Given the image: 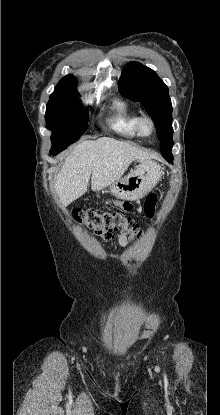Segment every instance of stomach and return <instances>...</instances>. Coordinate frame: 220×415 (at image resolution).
I'll return each instance as SVG.
<instances>
[{
	"label": "stomach",
	"instance_id": "obj_1",
	"mask_svg": "<svg viewBox=\"0 0 220 415\" xmlns=\"http://www.w3.org/2000/svg\"><path fill=\"white\" fill-rule=\"evenodd\" d=\"M161 166L150 159L141 160L139 166L125 178L109 186L110 193L122 200H138L144 197L160 180Z\"/></svg>",
	"mask_w": 220,
	"mask_h": 415
}]
</instances>
